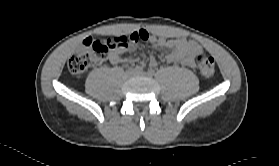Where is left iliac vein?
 Here are the masks:
<instances>
[{"label":"left iliac vein","mask_w":279,"mask_h":166,"mask_svg":"<svg viewBox=\"0 0 279 166\" xmlns=\"http://www.w3.org/2000/svg\"><path fill=\"white\" fill-rule=\"evenodd\" d=\"M136 75L145 76V75H147V73H145V72H136Z\"/></svg>","instance_id":"obj_1"}]
</instances>
